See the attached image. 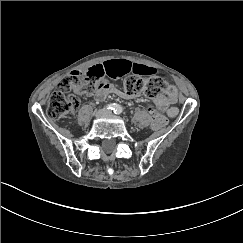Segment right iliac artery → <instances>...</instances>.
Wrapping results in <instances>:
<instances>
[{
  "instance_id": "1",
  "label": "right iliac artery",
  "mask_w": 243,
  "mask_h": 243,
  "mask_svg": "<svg viewBox=\"0 0 243 243\" xmlns=\"http://www.w3.org/2000/svg\"><path fill=\"white\" fill-rule=\"evenodd\" d=\"M117 108H118V105L115 104V103L108 104V105L105 106V109L113 110V111H115Z\"/></svg>"
}]
</instances>
